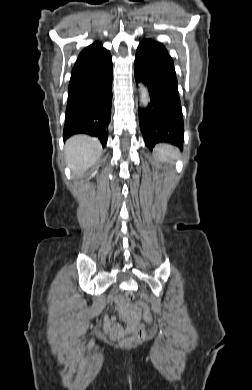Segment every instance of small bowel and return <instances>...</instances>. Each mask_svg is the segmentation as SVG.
<instances>
[{"label":"small bowel","instance_id":"c3829d8e","mask_svg":"<svg viewBox=\"0 0 252 390\" xmlns=\"http://www.w3.org/2000/svg\"><path fill=\"white\" fill-rule=\"evenodd\" d=\"M112 306L117 311L118 317L123 322V324L118 323L115 316H107L105 329L111 334L124 335L131 333L135 330L137 322L141 317L147 321H150L151 319L149 310L145 305H142V315L138 313H132L121 296H115L113 298Z\"/></svg>","mask_w":252,"mask_h":390}]
</instances>
